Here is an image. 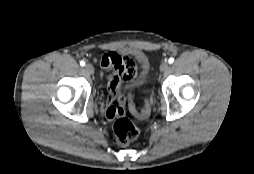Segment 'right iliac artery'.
<instances>
[{
  "instance_id": "82829eb1",
  "label": "right iliac artery",
  "mask_w": 254,
  "mask_h": 174,
  "mask_svg": "<svg viewBox=\"0 0 254 174\" xmlns=\"http://www.w3.org/2000/svg\"><path fill=\"white\" fill-rule=\"evenodd\" d=\"M80 65H81V66H84V65H85V62H84V61H80Z\"/></svg>"
}]
</instances>
